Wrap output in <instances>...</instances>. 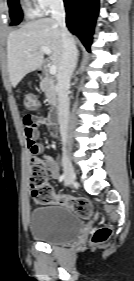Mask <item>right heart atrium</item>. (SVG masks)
<instances>
[{"instance_id": "obj_1", "label": "right heart atrium", "mask_w": 134, "mask_h": 281, "mask_svg": "<svg viewBox=\"0 0 134 281\" xmlns=\"http://www.w3.org/2000/svg\"><path fill=\"white\" fill-rule=\"evenodd\" d=\"M39 12L47 13L53 8L59 6L62 0H32Z\"/></svg>"}]
</instances>
